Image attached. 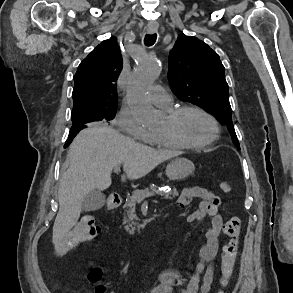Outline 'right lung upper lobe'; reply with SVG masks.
Returning <instances> with one entry per match:
<instances>
[{"mask_svg":"<svg viewBox=\"0 0 293 293\" xmlns=\"http://www.w3.org/2000/svg\"><path fill=\"white\" fill-rule=\"evenodd\" d=\"M121 70L122 58L117 39L104 40L78 67L74 76L73 107L116 109V81Z\"/></svg>","mask_w":293,"mask_h":293,"instance_id":"cb5924a9","label":"right lung upper lobe"}]
</instances>
